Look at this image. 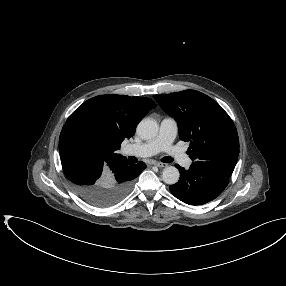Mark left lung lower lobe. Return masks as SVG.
<instances>
[{
    "instance_id": "obj_1",
    "label": "left lung lower lobe",
    "mask_w": 286,
    "mask_h": 286,
    "mask_svg": "<svg viewBox=\"0 0 286 286\" xmlns=\"http://www.w3.org/2000/svg\"><path fill=\"white\" fill-rule=\"evenodd\" d=\"M179 181L169 187L171 193L189 205H201L218 197L229 183V178L212 170L190 166L188 170L176 165Z\"/></svg>"
}]
</instances>
